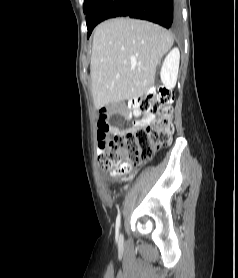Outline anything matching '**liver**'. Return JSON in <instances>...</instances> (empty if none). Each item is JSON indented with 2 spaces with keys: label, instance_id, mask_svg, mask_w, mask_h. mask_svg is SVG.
Returning a JSON list of instances; mask_svg holds the SVG:
<instances>
[{
  "label": "liver",
  "instance_id": "1",
  "mask_svg": "<svg viewBox=\"0 0 238 278\" xmlns=\"http://www.w3.org/2000/svg\"><path fill=\"white\" fill-rule=\"evenodd\" d=\"M173 43L170 32L148 21L116 18L100 23L90 63L95 108L148 93L157 65Z\"/></svg>",
  "mask_w": 238,
  "mask_h": 278
}]
</instances>
